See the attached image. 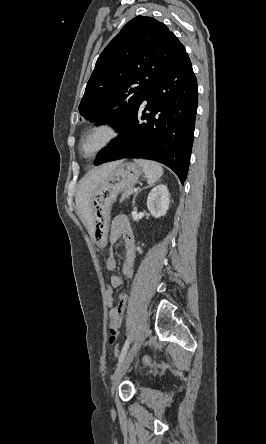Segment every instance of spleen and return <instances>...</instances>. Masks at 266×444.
<instances>
[{"label": "spleen", "instance_id": "1", "mask_svg": "<svg viewBox=\"0 0 266 444\" xmlns=\"http://www.w3.org/2000/svg\"><path fill=\"white\" fill-rule=\"evenodd\" d=\"M146 175L149 185L155 183L163 174V168L157 162L151 160L136 159L134 160Z\"/></svg>", "mask_w": 266, "mask_h": 444}]
</instances>
